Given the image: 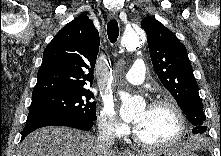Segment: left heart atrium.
<instances>
[{
    "instance_id": "left-heart-atrium-1",
    "label": "left heart atrium",
    "mask_w": 221,
    "mask_h": 156,
    "mask_svg": "<svg viewBox=\"0 0 221 156\" xmlns=\"http://www.w3.org/2000/svg\"><path fill=\"white\" fill-rule=\"evenodd\" d=\"M137 127H138V124H137V123H135V124H134V128L136 129Z\"/></svg>"
}]
</instances>
